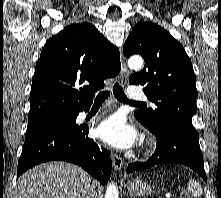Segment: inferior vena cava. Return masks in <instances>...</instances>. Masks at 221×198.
Segmentation results:
<instances>
[{"instance_id": "602c4592", "label": "inferior vena cava", "mask_w": 221, "mask_h": 198, "mask_svg": "<svg viewBox=\"0 0 221 198\" xmlns=\"http://www.w3.org/2000/svg\"><path fill=\"white\" fill-rule=\"evenodd\" d=\"M94 196H95V187H94V185H92L89 189V193L87 195V198H94Z\"/></svg>"}]
</instances>
